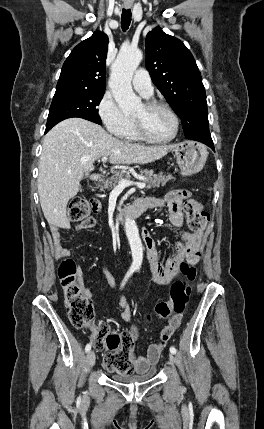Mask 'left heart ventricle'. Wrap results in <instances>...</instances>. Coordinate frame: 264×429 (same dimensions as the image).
Returning <instances> with one entry per match:
<instances>
[{
  "label": "left heart ventricle",
  "instance_id": "b2bd125f",
  "mask_svg": "<svg viewBox=\"0 0 264 429\" xmlns=\"http://www.w3.org/2000/svg\"><path fill=\"white\" fill-rule=\"evenodd\" d=\"M140 120L147 133L155 139H166L170 137L174 131V121L172 117L163 110H148L143 105L133 116Z\"/></svg>",
  "mask_w": 264,
  "mask_h": 429
}]
</instances>
